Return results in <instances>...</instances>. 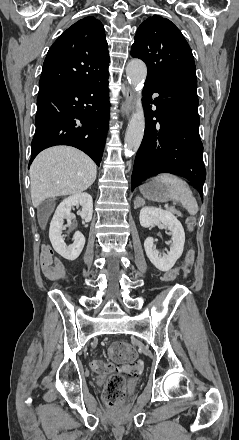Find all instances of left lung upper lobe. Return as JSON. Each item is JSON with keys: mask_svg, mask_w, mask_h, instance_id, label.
Wrapping results in <instances>:
<instances>
[{"mask_svg": "<svg viewBox=\"0 0 239 440\" xmlns=\"http://www.w3.org/2000/svg\"><path fill=\"white\" fill-rule=\"evenodd\" d=\"M131 55L146 63L147 79L197 82L192 51L180 30L166 18L154 15L139 26Z\"/></svg>", "mask_w": 239, "mask_h": 440, "instance_id": "obj_1", "label": "left lung upper lobe"}]
</instances>
